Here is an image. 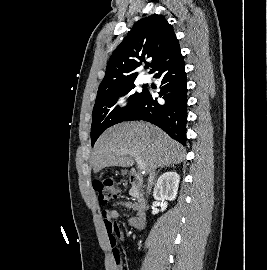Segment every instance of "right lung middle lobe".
I'll return each instance as SVG.
<instances>
[{
  "label": "right lung middle lobe",
  "instance_id": "dd1d6c3e",
  "mask_svg": "<svg viewBox=\"0 0 267 270\" xmlns=\"http://www.w3.org/2000/svg\"><path fill=\"white\" fill-rule=\"evenodd\" d=\"M134 88V81H130L98 91L96 103L93 108L91 145H94L98 137L107 128L124 121L147 91V89H143L141 92L133 93L129 97L128 106L125 108H120L119 106L113 107L119 96L127 94Z\"/></svg>",
  "mask_w": 267,
  "mask_h": 270
}]
</instances>
